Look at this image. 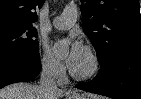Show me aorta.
<instances>
[{
  "instance_id": "aorta-1",
  "label": "aorta",
  "mask_w": 141,
  "mask_h": 99,
  "mask_svg": "<svg viewBox=\"0 0 141 99\" xmlns=\"http://www.w3.org/2000/svg\"><path fill=\"white\" fill-rule=\"evenodd\" d=\"M67 46L66 40H57L54 44V50L56 52H61L63 51Z\"/></svg>"
}]
</instances>
